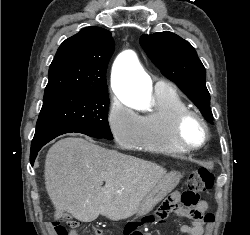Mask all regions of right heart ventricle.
I'll list each match as a JSON object with an SVG mask.
<instances>
[{
	"label": "right heart ventricle",
	"mask_w": 250,
	"mask_h": 235,
	"mask_svg": "<svg viewBox=\"0 0 250 235\" xmlns=\"http://www.w3.org/2000/svg\"><path fill=\"white\" fill-rule=\"evenodd\" d=\"M186 109L187 104L173 87L155 88L151 108L140 117V138L135 147L164 155L184 154L174 142L172 125L175 116Z\"/></svg>",
	"instance_id": "1"
}]
</instances>
